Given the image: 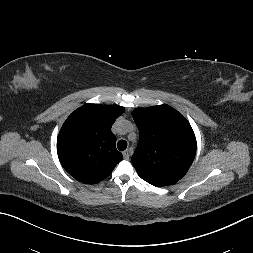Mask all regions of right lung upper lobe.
Segmentation results:
<instances>
[{"instance_id":"obj_1","label":"right lung upper lobe","mask_w":253,"mask_h":253,"mask_svg":"<svg viewBox=\"0 0 253 253\" xmlns=\"http://www.w3.org/2000/svg\"><path fill=\"white\" fill-rule=\"evenodd\" d=\"M123 112L118 105L85 104L67 118L57 138V153L72 177L98 183L122 160L111 126Z\"/></svg>"}]
</instances>
